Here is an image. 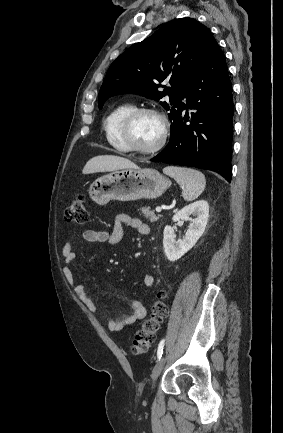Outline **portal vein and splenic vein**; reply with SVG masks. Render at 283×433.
<instances>
[{
    "instance_id": "18ae733b",
    "label": "portal vein and splenic vein",
    "mask_w": 283,
    "mask_h": 433,
    "mask_svg": "<svg viewBox=\"0 0 283 433\" xmlns=\"http://www.w3.org/2000/svg\"><path fill=\"white\" fill-rule=\"evenodd\" d=\"M162 208H163V206H156L157 212H161Z\"/></svg>"
}]
</instances>
